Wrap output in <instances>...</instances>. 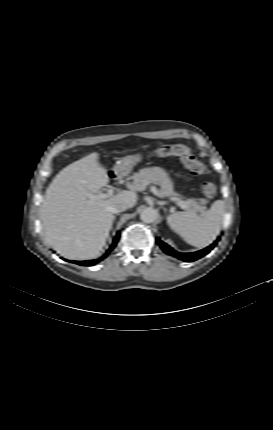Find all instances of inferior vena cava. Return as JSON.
<instances>
[{"mask_svg":"<svg viewBox=\"0 0 273 430\" xmlns=\"http://www.w3.org/2000/svg\"><path fill=\"white\" fill-rule=\"evenodd\" d=\"M127 209H128V206L126 205V203H124L122 201L116 202L109 207V211L113 214L123 212Z\"/></svg>","mask_w":273,"mask_h":430,"instance_id":"obj_1","label":"inferior vena cava"}]
</instances>
